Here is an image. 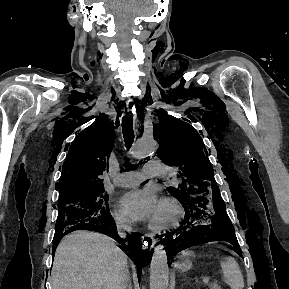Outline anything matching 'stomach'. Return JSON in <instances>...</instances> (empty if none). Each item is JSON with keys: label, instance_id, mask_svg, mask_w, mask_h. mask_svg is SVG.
Masks as SVG:
<instances>
[{"label": "stomach", "instance_id": "1", "mask_svg": "<svg viewBox=\"0 0 289 289\" xmlns=\"http://www.w3.org/2000/svg\"><path fill=\"white\" fill-rule=\"evenodd\" d=\"M190 257V252H184L182 260L178 263V269L180 271H187L192 267V261L190 260Z\"/></svg>", "mask_w": 289, "mask_h": 289}]
</instances>
